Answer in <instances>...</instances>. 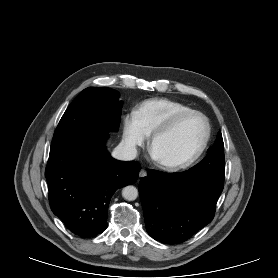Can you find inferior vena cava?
Segmentation results:
<instances>
[{"label":"inferior vena cava","mask_w":278,"mask_h":278,"mask_svg":"<svg viewBox=\"0 0 278 278\" xmlns=\"http://www.w3.org/2000/svg\"><path fill=\"white\" fill-rule=\"evenodd\" d=\"M114 158L122 161H130L136 158L137 149L134 144L122 141L112 152Z\"/></svg>","instance_id":"602c4592"}]
</instances>
